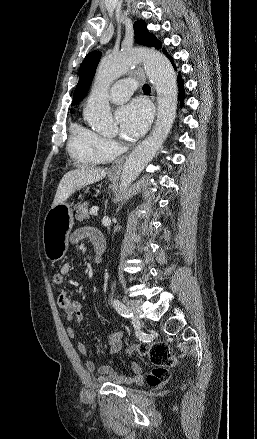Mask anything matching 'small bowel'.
I'll return each instance as SVG.
<instances>
[{"label":"small bowel","mask_w":257,"mask_h":439,"mask_svg":"<svg viewBox=\"0 0 257 439\" xmlns=\"http://www.w3.org/2000/svg\"><path fill=\"white\" fill-rule=\"evenodd\" d=\"M99 237H102L99 232L91 227L85 226L77 229L74 233H72L70 241L73 244H76L84 239H89L94 244V242ZM70 272V263H64L60 267L59 274L62 275V277L68 275ZM58 305L61 309L64 310L66 319L68 321H73L77 324L83 320L84 314L81 302L71 300L64 290H59L58 292ZM67 334L70 338H74L76 336L74 326H69L67 328ZM108 346L110 354L113 355L118 353L123 347V334L121 332L109 333ZM78 349L86 357L84 364L85 371L87 373H92L94 371V363L91 359L88 358L85 346L82 343H79ZM131 367L133 370V375L131 377H127L118 374L111 366H101L98 369L99 378L103 381H108L115 384H141L144 381V375L141 367L136 362H132Z\"/></svg>","instance_id":"c3829d8e"}]
</instances>
